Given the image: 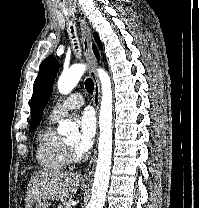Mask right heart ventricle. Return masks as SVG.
Returning a JSON list of instances; mask_svg holds the SVG:
<instances>
[{
    "instance_id": "right-heart-ventricle-1",
    "label": "right heart ventricle",
    "mask_w": 199,
    "mask_h": 208,
    "mask_svg": "<svg viewBox=\"0 0 199 208\" xmlns=\"http://www.w3.org/2000/svg\"><path fill=\"white\" fill-rule=\"evenodd\" d=\"M59 118L50 116L38 135L36 158L40 166L47 171H62L69 164L65 140L56 132L55 122Z\"/></svg>"
}]
</instances>
